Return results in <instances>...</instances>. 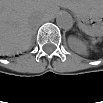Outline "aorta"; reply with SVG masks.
<instances>
[{"label": "aorta", "instance_id": "aorta-1", "mask_svg": "<svg viewBox=\"0 0 103 103\" xmlns=\"http://www.w3.org/2000/svg\"><path fill=\"white\" fill-rule=\"evenodd\" d=\"M56 24L59 28L69 30L73 26V18L67 12H61L56 18Z\"/></svg>", "mask_w": 103, "mask_h": 103}]
</instances>
